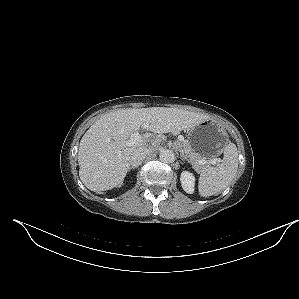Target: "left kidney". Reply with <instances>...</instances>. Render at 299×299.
<instances>
[{
    "label": "left kidney",
    "mask_w": 299,
    "mask_h": 299,
    "mask_svg": "<svg viewBox=\"0 0 299 299\" xmlns=\"http://www.w3.org/2000/svg\"><path fill=\"white\" fill-rule=\"evenodd\" d=\"M182 188L185 192L192 194L194 192L195 177L188 171H183L180 177Z\"/></svg>",
    "instance_id": "1"
}]
</instances>
